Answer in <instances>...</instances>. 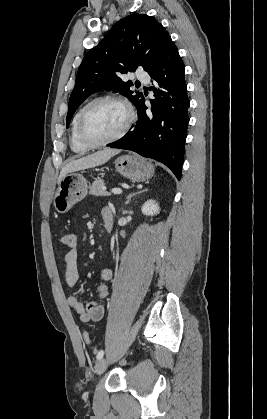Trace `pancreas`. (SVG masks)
Returning a JSON list of instances; mask_svg holds the SVG:
<instances>
[{"instance_id": "obj_1", "label": "pancreas", "mask_w": 267, "mask_h": 419, "mask_svg": "<svg viewBox=\"0 0 267 419\" xmlns=\"http://www.w3.org/2000/svg\"><path fill=\"white\" fill-rule=\"evenodd\" d=\"M105 182L103 179H97L95 180L90 186H89V194L94 196H106L109 195L104 190Z\"/></svg>"}]
</instances>
